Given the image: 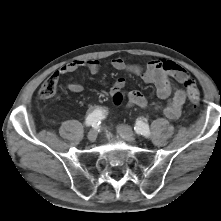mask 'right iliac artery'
Wrapping results in <instances>:
<instances>
[{
  "mask_svg": "<svg viewBox=\"0 0 221 221\" xmlns=\"http://www.w3.org/2000/svg\"><path fill=\"white\" fill-rule=\"evenodd\" d=\"M105 118V111L101 109L94 110L91 112L85 121L86 126L98 127L102 119Z\"/></svg>",
  "mask_w": 221,
  "mask_h": 221,
  "instance_id": "1",
  "label": "right iliac artery"
}]
</instances>
